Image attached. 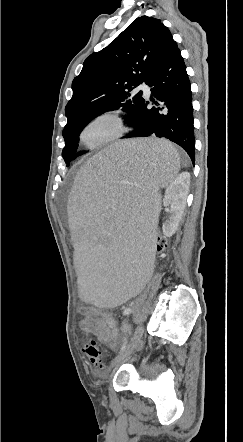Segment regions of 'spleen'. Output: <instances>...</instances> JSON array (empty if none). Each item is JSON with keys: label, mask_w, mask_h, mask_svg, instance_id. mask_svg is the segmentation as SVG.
Here are the masks:
<instances>
[{"label": "spleen", "mask_w": 243, "mask_h": 442, "mask_svg": "<svg viewBox=\"0 0 243 442\" xmlns=\"http://www.w3.org/2000/svg\"><path fill=\"white\" fill-rule=\"evenodd\" d=\"M179 170L175 147L158 139L101 147L82 163L68 207L76 286L88 307H124L147 291L157 253L152 233L160 209L157 192Z\"/></svg>", "instance_id": "obj_1"}]
</instances>
